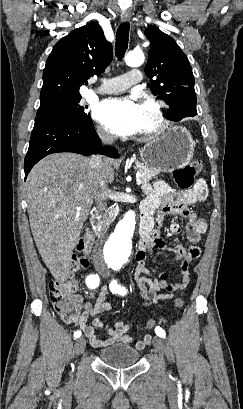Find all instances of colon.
<instances>
[{
  "instance_id": "5ec220e1",
  "label": "colon",
  "mask_w": 243,
  "mask_h": 409,
  "mask_svg": "<svg viewBox=\"0 0 243 409\" xmlns=\"http://www.w3.org/2000/svg\"><path fill=\"white\" fill-rule=\"evenodd\" d=\"M204 170L201 161H192L191 163L175 170L172 174L175 184L181 189L190 188L196 176ZM93 236L86 233L80 239L77 250L78 254L72 259L70 266V278L66 281H52L49 285L50 299L56 310L66 322H74L78 317L79 310L73 300V295L78 289L76 274L86 269L89 265V255L92 250ZM184 305L182 296L175 298L173 302L174 310H179ZM158 326V321L150 319L145 328L150 330Z\"/></svg>"
}]
</instances>
